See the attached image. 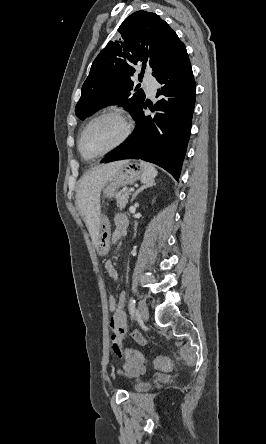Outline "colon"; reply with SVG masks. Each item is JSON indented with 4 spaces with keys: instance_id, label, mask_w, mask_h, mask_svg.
<instances>
[{
    "instance_id": "5ec220e1",
    "label": "colon",
    "mask_w": 266,
    "mask_h": 444,
    "mask_svg": "<svg viewBox=\"0 0 266 444\" xmlns=\"http://www.w3.org/2000/svg\"><path fill=\"white\" fill-rule=\"evenodd\" d=\"M107 308L112 313L116 311L117 303L113 295L107 297ZM125 357L129 360L130 370H140L147 362L142 353L134 350L126 352ZM153 365L161 370H169L172 368V361L168 357H157L153 360Z\"/></svg>"
}]
</instances>
